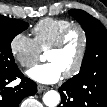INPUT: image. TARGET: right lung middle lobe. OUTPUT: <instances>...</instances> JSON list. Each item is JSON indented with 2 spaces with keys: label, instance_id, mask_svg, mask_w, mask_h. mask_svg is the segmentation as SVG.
<instances>
[{
  "label": "right lung middle lobe",
  "instance_id": "dd1d6c3e",
  "mask_svg": "<svg viewBox=\"0 0 107 107\" xmlns=\"http://www.w3.org/2000/svg\"><path fill=\"white\" fill-rule=\"evenodd\" d=\"M28 26L21 20L0 15V75L10 73L17 68L11 51V41Z\"/></svg>",
  "mask_w": 107,
  "mask_h": 107
}]
</instances>
